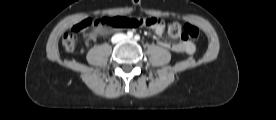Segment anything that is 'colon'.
Segmentation results:
<instances>
[{"label": "colon", "mask_w": 276, "mask_h": 120, "mask_svg": "<svg viewBox=\"0 0 276 120\" xmlns=\"http://www.w3.org/2000/svg\"><path fill=\"white\" fill-rule=\"evenodd\" d=\"M163 24L162 20L155 17L150 18H130L124 16L104 17L101 19H84L75 24L69 32L64 34L62 38V45L65 50L71 52L75 49L78 35L92 26H105L109 28H124V27H158ZM169 34L173 37H179L184 42H191L197 40L199 37V30L193 25H181L173 22L169 25Z\"/></svg>", "instance_id": "colon-1"}]
</instances>
